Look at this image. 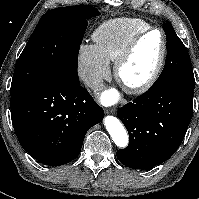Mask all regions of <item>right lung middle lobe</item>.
Segmentation results:
<instances>
[{
    "instance_id": "1",
    "label": "right lung middle lobe",
    "mask_w": 199,
    "mask_h": 199,
    "mask_svg": "<svg viewBox=\"0 0 199 199\" xmlns=\"http://www.w3.org/2000/svg\"><path fill=\"white\" fill-rule=\"evenodd\" d=\"M99 14L97 9L88 5L47 11L17 60L10 95L49 74H61L79 81L78 51L87 19Z\"/></svg>"
}]
</instances>
